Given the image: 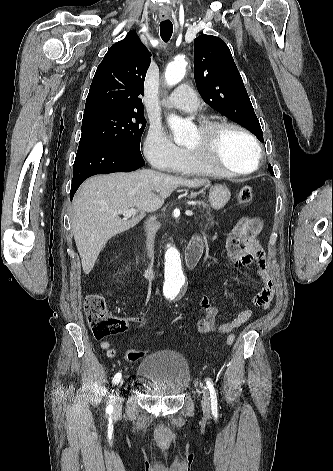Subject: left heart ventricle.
I'll list each match as a JSON object with an SVG mask.
<instances>
[{
	"label": "left heart ventricle",
	"mask_w": 333,
	"mask_h": 471,
	"mask_svg": "<svg viewBox=\"0 0 333 471\" xmlns=\"http://www.w3.org/2000/svg\"><path fill=\"white\" fill-rule=\"evenodd\" d=\"M188 148L200 146V134L196 130L186 143ZM214 157L221 165L233 170H248L255 164V149L250 140L233 129L221 130L215 139Z\"/></svg>",
	"instance_id": "1"
}]
</instances>
